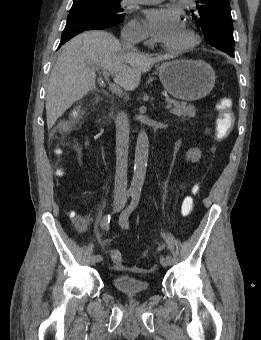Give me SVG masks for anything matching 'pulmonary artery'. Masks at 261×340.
Segmentation results:
<instances>
[{
    "instance_id": "pulmonary-artery-1",
    "label": "pulmonary artery",
    "mask_w": 261,
    "mask_h": 340,
    "mask_svg": "<svg viewBox=\"0 0 261 340\" xmlns=\"http://www.w3.org/2000/svg\"><path fill=\"white\" fill-rule=\"evenodd\" d=\"M137 3H141V4H152V3H157L160 2L162 0H134Z\"/></svg>"
}]
</instances>
